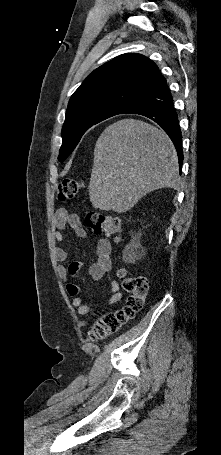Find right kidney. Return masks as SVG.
<instances>
[{"label": "right kidney", "mask_w": 221, "mask_h": 455, "mask_svg": "<svg viewBox=\"0 0 221 455\" xmlns=\"http://www.w3.org/2000/svg\"><path fill=\"white\" fill-rule=\"evenodd\" d=\"M139 257V252L134 244L125 247L123 251V259L126 262H134Z\"/></svg>", "instance_id": "ca27d5eb"}]
</instances>
